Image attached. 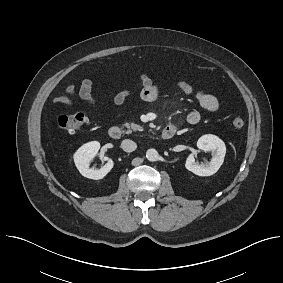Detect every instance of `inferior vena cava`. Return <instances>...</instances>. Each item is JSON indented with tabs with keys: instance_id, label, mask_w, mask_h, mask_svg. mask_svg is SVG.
I'll use <instances>...</instances> for the list:
<instances>
[{
	"instance_id": "1",
	"label": "inferior vena cava",
	"mask_w": 283,
	"mask_h": 283,
	"mask_svg": "<svg viewBox=\"0 0 283 283\" xmlns=\"http://www.w3.org/2000/svg\"><path fill=\"white\" fill-rule=\"evenodd\" d=\"M121 148L125 152H133L134 150H136L137 144L134 141L130 140V139H125L121 143Z\"/></svg>"
}]
</instances>
